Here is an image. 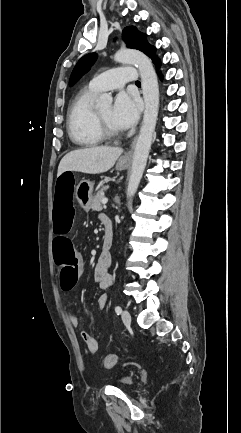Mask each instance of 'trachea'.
Returning a JSON list of instances; mask_svg holds the SVG:
<instances>
[{
    "label": "trachea",
    "instance_id": "3493384b",
    "mask_svg": "<svg viewBox=\"0 0 241 433\" xmlns=\"http://www.w3.org/2000/svg\"><path fill=\"white\" fill-rule=\"evenodd\" d=\"M136 84H137V85H140L141 83H140V81H136Z\"/></svg>",
    "mask_w": 241,
    "mask_h": 433
}]
</instances>
